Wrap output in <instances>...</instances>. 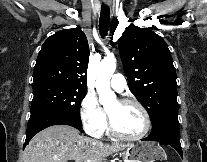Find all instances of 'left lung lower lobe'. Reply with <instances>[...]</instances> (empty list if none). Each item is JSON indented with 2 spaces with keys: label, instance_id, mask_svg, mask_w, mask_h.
<instances>
[{
  "label": "left lung lower lobe",
  "instance_id": "1",
  "mask_svg": "<svg viewBox=\"0 0 207 162\" xmlns=\"http://www.w3.org/2000/svg\"><path fill=\"white\" fill-rule=\"evenodd\" d=\"M172 146L182 157L178 114L165 115L153 123L151 134L142 139Z\"/></svg>",
  "mask_w": 207,
  "mask_h": 162
}]
</instances>
